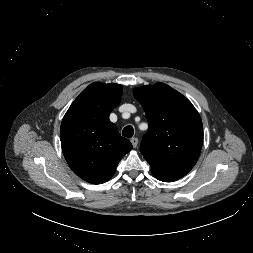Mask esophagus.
Returning <instances> with one entry per match:
<instances>
[{
    "instance_id": "esophagus-1",
    "label": "esophagus",
    "mask_w": 253,
    "mask_h": 253,
    "mask_svg": "<svg viewBox=\"0 0 253 253\" xmlns=\"http://www.w3.org/2000/svg\"><path fill=\"white\" fill-rule=\"evenodd\" d=\"M130 141H131L133 147L136 148L138 145V139L136 137H133L130 139Z\"/></svg>"
}]
</instances>
